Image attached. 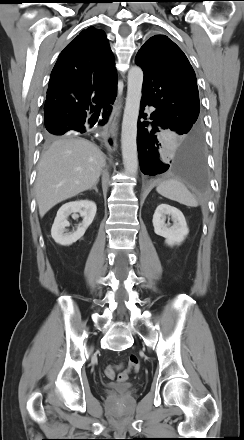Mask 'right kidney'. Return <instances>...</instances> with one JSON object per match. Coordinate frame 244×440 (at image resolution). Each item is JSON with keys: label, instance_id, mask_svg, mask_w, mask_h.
<instances>
[{"label": "right kidney", "instance_id": "ca27d5eb", "mask_svg": "<svg viewBox=\"0 0 244 440\" xmlns=\"http://www.w3.org/2000/svg\"><path fill=\"white\" fill-rule=\"evenodd\" d=\"M97 207L93 201L80 200L72 201L62 205L58 210L51 229V236L54 241L63 246H69L79 240L91 225L96 215ZM72 213H80L83 217L76 231L66 233V227L70 225L67 218Z\"/></svg>", "mask_w": 244, "mask_h": 440}]
</instances>
